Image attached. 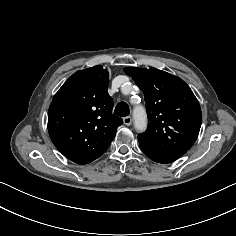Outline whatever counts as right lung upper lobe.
<instances>
[{"mask_svg": "<svg viewBox=\"0 0 236 236\" xmlns=\"http://www.w3.org/2000/svg\"><path fill=\"white\" fill-rule=\"evenodd\" d=\"M109 74L101 66L74 73L59 89L48 111L53 144L68 159L89 163L112 142L121 118L112 114Z\"/></svg>", "mask_w": 236, "mask_h": 236, "instance_id": "1", "label": "right lung upper lobe"}]
</instances>
